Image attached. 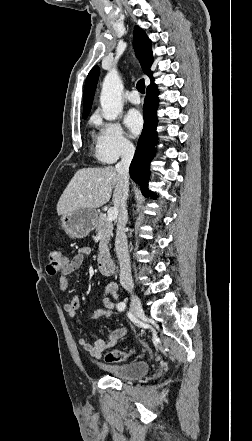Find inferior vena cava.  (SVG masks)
<instances>
[{
    "label": "inferior vena cava",
    "mask_w": 252,
    "mask_h": 441,
    "mask_svg": "<svg viewBox=\"0 0 252 441\" xmlns=\"http://www.w3.org/2000/svg\"><path fill=\"white\" fill-rule=\"evenodd\" d=\"M135 148L127 145L122 153V159L116 164L115 169L121 177L122 197L119 206V216L117 222L115 251L120 264V282L124 288L131 290L133 281L131 276L130 256L128 253V242L125 227L128 220L126 201L129 191V166L133 159Z\"/></svg>",
    "instance_id": "1"
}]
</instances>
